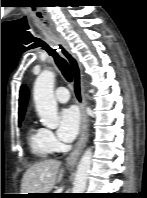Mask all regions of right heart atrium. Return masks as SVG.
<instances>
[{
	"mask_svg": "<svg viewBox=\"0 0 147 198\" xmlns=\"http://www.w3.org/2000/svg\"><path fill=\"white\" fill-rule=\"evenodd\" d=\"M45 139L52 151L56 150L58 147V141L54 135V133L49 129H44Z\"/></svg>",
	"mask_w": 147,
	"mask_h": 198,
	"instance_id": "1",
	"label": "right heart atrium"
}]
</instances>
